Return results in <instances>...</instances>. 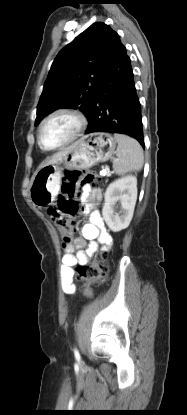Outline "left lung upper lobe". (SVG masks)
I'll list each match as a JSON object with an SVG mask.
<instances>
[{
    "label": "left lung upper lobe",
    "instance_id": "obj_1",
    "mask_svg": "<svg viewBox=\"0 0 187 415\" xmlns=\"http://www.w3.org/2000/svg\"><path fill=\"white\" fill-rule=\"evenodd\" d=\"M118 34L104 23H94L56 56L45 81L35 125L60 108L93 114L96 86Z\"/></svg>",
    "mask_w": 187,
    "mask_h": 415
}]
</instances>
